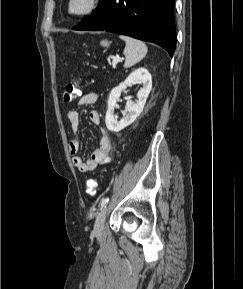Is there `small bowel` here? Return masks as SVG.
Here are the masks:
<instances>
[{"mask_svg":"<svg viewBox=\"0 0 243 289\" xmlns=\"http://www.w3.org/2000/svg\"><path fill=\"white\" fill-rule=\"evenodd\" d=\"M98 99L96 91H90L81 96L78 105L94 104ZM70 123V128L73 133H76L80 126V116L77 110L72 109L67 114ZM89 119L94 125H100V115L98 111L91 110ZM80 149V142L77 138H73L69 142V152L72 156L73 165L82 173H86L96 169L99 165L105 164L109 161V153L111 149V141L108 132L104 128L99 130L98 147L91 153L87 160H84L78 153Z\"/></svg>","mask_w":243,"mask_h":289,"instance_id":"small-bowel-1","label":"small bowel"}]
</instances>
